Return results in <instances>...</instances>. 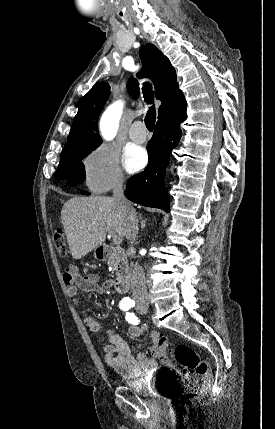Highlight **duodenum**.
I'll use <instances>...</instances> for the list:
<instances>
[{"label":"duodenum","instance_id":"1","mask_svg":"<svg viewBox=\"0 0 275 429\" xmlns=\"http://www.w3.org/2000/svg\"><path fill=\"white\" fill-rule=\"evenodd\" d=\"M97 257L101 261L112 262L116 269L114 288L118 293L128 290L130 284V273L124 250L109 245H100L97 248Z\"/></svg>","mask_w":275,"mask_h":429}]
</instances>
